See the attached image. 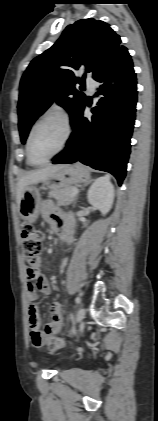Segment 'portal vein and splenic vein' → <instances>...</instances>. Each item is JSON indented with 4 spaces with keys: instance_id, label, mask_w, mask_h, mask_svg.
Instances as JSON below:
<instances>
[{
    "instance_id": "1",
    "label": "portal vein and splenic vein",
    "mask_w": 158,
    "mask_h": 421,
    "mask_svg": "<svg viewBox=\"0 0 158 421\" xmlns=\"http://www.w3.org/2000/svg\"><path fill=\"white\" fill-rule=\"evenodd\" d=\"M78 192H79V190L77 189V188H75L73 191H72V196H76L77 194H78Z\"/></svg>"
}]
</instances>
